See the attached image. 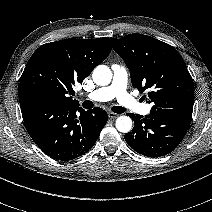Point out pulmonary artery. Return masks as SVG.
<instances>
[{"instance_id": "1", "label": "pulmonary artery", "mask_w": 212, "mask_h": 212, "mask_svg": "<svg viewBox=\"0 0 212 212\" xmlns=\"http://www.w3.org/2000/svg\"><path fill=\"white\" fill-rule=\"evenodd\" d=\"M113 79L110 85L98 88L86 94L92 101H109L116 98L118 103L127 110L146 115L150 112L149 104L140 103L127 92L128 71L123 65L113 64Z\"/></svg>"}]
</instances>
